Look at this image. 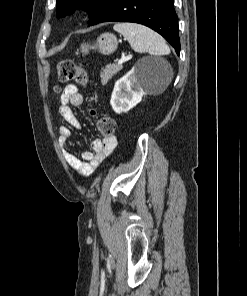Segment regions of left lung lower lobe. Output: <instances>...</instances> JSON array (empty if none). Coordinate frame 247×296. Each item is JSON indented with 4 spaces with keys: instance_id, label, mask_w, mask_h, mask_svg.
<instances>
[{
    "instance_id": "0a47b994",
    "label": "left lung lower lobe",
    "mask_w": 247,
    "mask_h": 296,
    "mask_svg": "<svg viewBox=\"0 0 247 296\" xmlns=\"http://www.w3.org/2000/svg\"><path fill=\"white\" fill-rule=\"evenodd\" d=\"M134 22L162 35L179 55L178 17L173 0H108L88 26L102 22Z\"/></svg>"
}]
</instances>
